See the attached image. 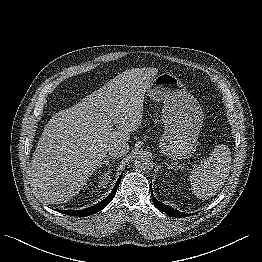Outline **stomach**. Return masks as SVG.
Returning a JSON list of instances; mask_svg holds the SVG:
<instances>
[{
  "instance_id": "1",
  "label": "stomach",
  "mask_w": 262,
  "mask_h": 262,
  "mask_svg": "<svg viewBox=\"0 0 262 262\" xmlns=\"http://www.w3.org/2000/svg\"><path fill=\"white\" fill-rule=\"evenodd\" d=\"M148 97L163 102L162 121L164 134L160 152L173 160L192 156L198 145V137L203 124V111L181 80L172 73H162L150 83Z\"/></svg>"
}]
</instances>
